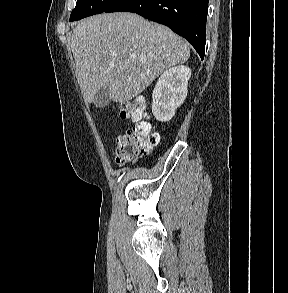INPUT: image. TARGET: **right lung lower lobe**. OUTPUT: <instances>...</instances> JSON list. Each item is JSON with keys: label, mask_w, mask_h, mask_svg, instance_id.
Segmentation results:
<instances>
[{"label": "right lung lower lobe", "mask_w": 288, "mask_h": 293, "mask_svg": "<svg viewBox=\"0 0 288 293\" xmlns=\"http://www.w3.org/2000/svg\"><path fill=\"white\" fill-rule=\"evenodd\" d=\"M126 11L168 26L204 58L208 0H119L105 12Z\"/></svg>", "instance_id": "98d812e1"}]
</instances>
